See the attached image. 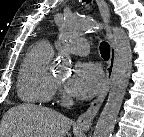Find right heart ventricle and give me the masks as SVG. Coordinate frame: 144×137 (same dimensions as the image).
Instances as JSON below:
<instances>
[{"label": "right heart ventricle", "mask_w": 144, "mask_h": 137, "mask_svg": "<svg viewBox=\"0 0 144 137\" xmlns=\"http://www.w3.org/2000/svg\"><path fill=\"white\" fill-rule=\"evenodd\" d=\"M53 47L47 41L33 45L25 55L17 80L19 98L29 104H47L56 92L50 62Z\"/></svg>", "instance_id": "1"}]
</instances>
